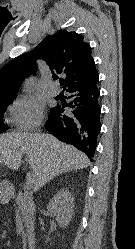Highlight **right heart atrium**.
Here are the masks:
<instances>
[{
  "label": "right heart atrium",
  "mask_w": 135,
  "mask_h": 249,
  "mask_svg": "<svg viewBox=\"0 0 135 249\" xmlns=\"http://www.w3.org/2000/svg\"><path fill=\"white\" fill-rule=\"evenodd\" d=\"M11 121L18 131L29 132L36 130L44 118V108L33 97L16 98L9 107Z\"/></svg>",
  "instance_id": "1"
}]
</instances>
